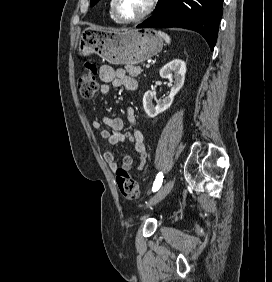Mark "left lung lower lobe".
I'll list each match as a JSON object with an SVG mask.
<instances>
[{"label":"left lung lower lobe","instance_id":"obj_1","mask_svg":"<svg viewBox=\"0 0 272 282\" xmlns=\"http://www.w3.org/2000/svg\"><path fill=\"white\" fill-rule=\"evenodd\" d=\"M223 0H159L155 13L137 28L181 27L200 33L213 50Z\"/></svg>","mask_w":272,"mask_h":282}]
</instances>
